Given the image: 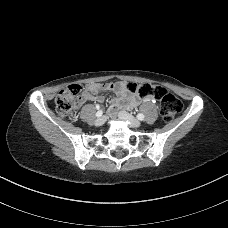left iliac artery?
I'll use <instances>...</instances> for the list:
<instances>
[{
	"label": "left iliac artery",
	"mask_w": 228,
	"mask_h": 228,
	"mask_svg": "<svg viewBox=\"0 0 228 228\" xmlns=\"http://www.w3.org/2000/svg\"><path fill=\"white\" fill-rule=\"evenodd\" d=\"M138 120H143L144 119V115L142 113H139L137 116Z\"/></svg>",
	"instance_id": "1"
}]
</instances>
